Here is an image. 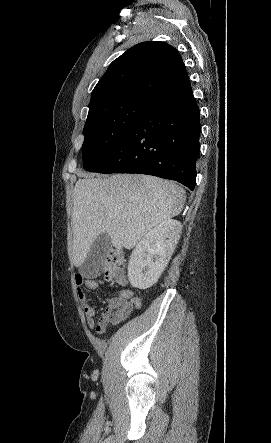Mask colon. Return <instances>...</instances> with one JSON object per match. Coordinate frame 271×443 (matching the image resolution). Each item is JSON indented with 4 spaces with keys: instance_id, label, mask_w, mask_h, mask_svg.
<instances>
[{
    "instance_id": "colon-1",
    "label": "colon",
    "mask_w": 271,
    "mask_h": 443,
    "mask_svg": "<svg viewBox=\"0 0 271 443\" xmlns=\"http://www.w3.org/2000/svg\"><path fill=\"white\" fill-rule=\"evenodd\" d=\"M125 255L122 251L112 250L106 257L104 274L108 280L118 283L124 282L123 266Z\"/></svg>"
}]
</instances>
